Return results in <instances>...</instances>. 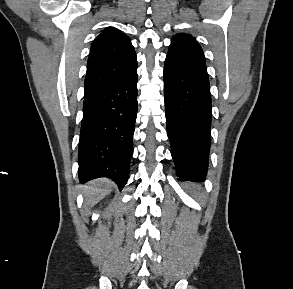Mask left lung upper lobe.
I'll list each match as a JSON object with an SVG mask.
<instances>
[{"instance_id":"1","label":"left lung upper lobe","mask_w":293,"mask_h":289,"mask_svg":"<svg viewBox=\"0 0 293 289\" xmlns=\"http://www.w3.org/2000/svg\"><path fill=\"white\" fill-rule=\"evenodd\" d=\"M168 55L184 57L205 64V57L202 48L189 34H176L171 40Z\"/></svg>"}]
</instances>
